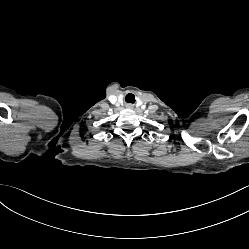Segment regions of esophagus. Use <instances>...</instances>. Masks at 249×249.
<instances>
[{"label": "esophagus", "instance_id": "obj_1", "mask_svg": "<svg viewBox=\"0 0 249 249\" xmlns=\"http://www.w3.org/2000/svg\"><path fill=\"white\" fill-rule=\"evenodd\" d=\"M126 107L131 109V108H133V105L132 104H127Z\"/></svg>", "mask_w": 249, "mask_h": 249}]
</instances>
